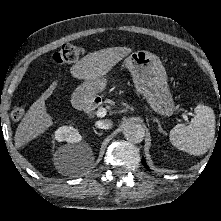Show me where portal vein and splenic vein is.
Returning a JSON list of instances; mask_svg holds the SVG:
<instances>
[{
	"mask_svg": "<svg viewBox=\"0 0 221 221\" xmlns=\"http://www.w3.org/2000/svg\"><path fill=\"white\" fill-rule=\"evenodd\" d=\"M106 113H107V111H106L105 108H99V109L97 110V112H96V116L99 117V118H102V117H104V116L106 115ZM182 117H183L186 121H188V117H187V114H186V113H183V114H182Z\"/></svg>",
	"mask_w": 221,
	"mask_h": 221,
	"instance_id": "obj_1",
	"label": "portal vein and splenic vein"
}]
</instances>
